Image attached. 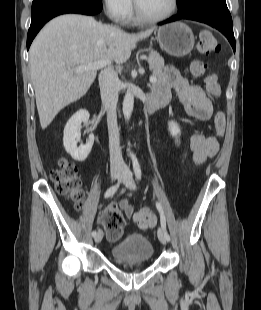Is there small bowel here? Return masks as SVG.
Returning <instances> with one entry per match:
<instances>
[{"label":"small bowel","instance_id":"small-bowel-1","mask_svg":"<svg viewBox=\"0 0 261 310\" xmlns=\"http://www.w3.org/2000/svg\"><path fill=\"white\" fill-rule=\"evenodd\" d=\"M171 92H174L185 111L198 120H208L212 114V104L205 91L199 85L192 84L183 78L179 72L171 66L163 70V77L153 87L152 96L168 101ZM219 148L215 137H205L195 133L191 137V149L196 163H202L213 157ZM119 211H123L127 218H132L133 207L123 199L119 203Z\"/></svg>","mask_w":261,"mask_h":310}]
</instances>
